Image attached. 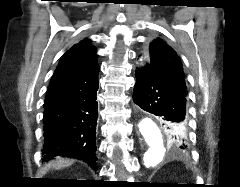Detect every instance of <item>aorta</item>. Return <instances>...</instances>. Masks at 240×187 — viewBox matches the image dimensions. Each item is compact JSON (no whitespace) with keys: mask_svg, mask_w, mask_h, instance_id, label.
Masks as SVG:
<instances>
[{"mask_svg":"<svg viewBox=\"0 0 240 187\" xmlns=\"http://www.w3.org/2000/svg\"><path fill=\"white\" fill-rule=\"evenodd\" d=\"M139 131L147 145L144 153V165L156 166L166 152V141L159 127L151 118H143L139 123Z\"/></svg>","mask_w":240,"mask_h":187,"instance_id":"aorta-1","label":"aorta"}]
</instances>
